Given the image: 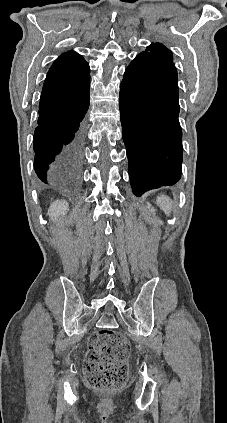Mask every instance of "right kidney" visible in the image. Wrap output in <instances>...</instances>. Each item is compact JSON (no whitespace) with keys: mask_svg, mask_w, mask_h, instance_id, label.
<instances>
[{"mask_svg":"<svg viewBox=\"0 0 227 423\" xmlns=\"http://www.w3.org/2000/svg\"><path fill=\"white\" fill-rule=\"evenodd\" d=\"M68 208L66 200H55L48 210V215L52 221H55L60 215H66Z\"/></svg>","mask_w":227,"mask_h":423,"instance_id":"obj_1","label":"right kidney"}]
</instances>
